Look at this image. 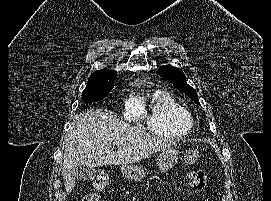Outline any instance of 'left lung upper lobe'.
<instances>
[{
	"mask_svg": "<svg viewBox=\"0 0 271 201\" xmlns=\"http://www.w3.org/2000/svg\"><path fill=\"white\" fill-rule=\"evenodd\" d=\"M157 74L168 80L179 91L185 93L191 100L200 105L196 91L186 83V76L181 69L165 65L158 69Z\"/></svg>",
	"mask_w": 271,
	"mask_h": 201,
	"instance_id": "obj_1",
	"label": "left lung upper lobe"
}]
</instances>
